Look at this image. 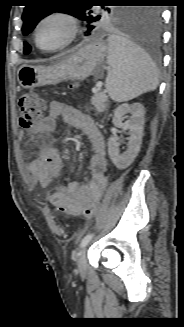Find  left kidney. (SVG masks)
Here are the masks:
<instances>
[{"label": "left kidney", "mask_w": 184, "mask_h": 327, "mask_svg": "<svg viewBox=\"0 0 184 327\" xmlns=\"http://www.w3.org/2000/svg\"><path fill=\"white\" fill-rule=\"evenodd\" d=\"M131 114L128 122L122 125L121 119L127 114ZM113 124L117 127L122 125L123 129L129 130V143L125 153L120 154L119 145L116 137L108 139V153L118 169H126L137 157L142 144L144 127V107L140 103L121 104L114 110Z\"/></svg>", "instance_id": "1"}]
</instances>
